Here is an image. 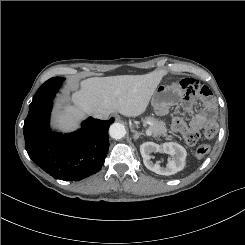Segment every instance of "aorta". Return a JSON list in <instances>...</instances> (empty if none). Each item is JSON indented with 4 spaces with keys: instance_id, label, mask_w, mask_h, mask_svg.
I'll return each instance as SVG.
<instances>
[{
    "instance_id": "1",
    "label": "aorta",
    "mask_w": 245,
    "mask_h": 245,
    "mask_svg": "<svg viewBox=\"0 0 245 245\" xmlns=\"http://www.w3.org/2000/svg\"><path fill=\"white\" fill-rule=\"evenodd\" d=\"M125 134V127L121 123H113L109 128V135L113 139H121Z\"/></svg>"
}]
</instances>
